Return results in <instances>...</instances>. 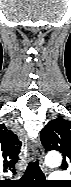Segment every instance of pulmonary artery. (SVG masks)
<instances>
[{
	"label": "pulmonary artery",
	"instance_id": "obj_1",
	"mask_svg": "<svg viewBox=\"0 0 71 187\" xmlns=\"http://www.w3.org/2000/svg\"><path fill=\"white\" fill-rule=\"evenodd\" d=\"M64 178V174L62 172H54L51 174L50 179L51 180H60Z\"/></svg>",
	"mask_w": 71,
	"mask_h": 187
}]
</instances>
